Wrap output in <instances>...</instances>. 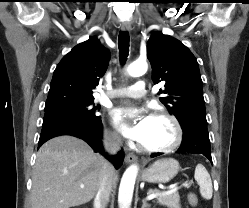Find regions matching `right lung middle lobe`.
<instances>
[{
    "mask_svg": "<svg viewBox=\"0 0 249 208\" xmlns=\"http://www.w3.org/2000/svg\"><path fill=\"white\" fill-rule=\"evenodd\" d=\"M93 101L94 100L71 102L52 107H45V115L52 114L59 116L74 117L84 121L93 122L101 118L100 116L95 115V111L100 108V106L93 107Z\"/></svg>",
    "mask_w": 249,
    "mask_h": 208,
    "instance_id": "obj_1",
    "label": "right lung middle lobe"
}]
</instances>
